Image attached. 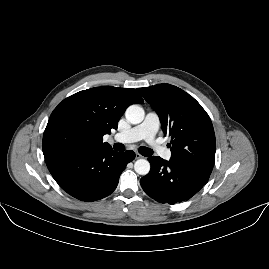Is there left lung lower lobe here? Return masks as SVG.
I'll use <instances>...</instances> for the list:
<instances>
[{
    "label": "left lung lower lobe",
    "instance_id": "left-lung-lower-lobe-1",
    "mask_svg": "<svg viewBox=\"0 0 269 269\" xmlns=\"http://www.w3.org/2000/svg\"><path fill=\"white\" fill-rule=\"evenodd\" d=\"M148 160L151 170L141 178L140 184L147 195L160 203L175 204L190 199L204 186L211 174L160 157L153 156Z\"/></svg>",
    "mask_w": 269,
    "mask_h": 269
}]
</instances>
